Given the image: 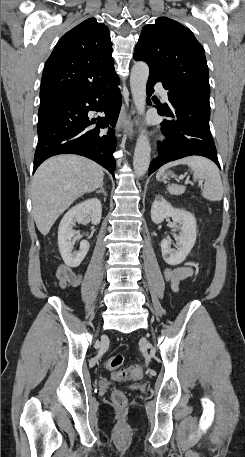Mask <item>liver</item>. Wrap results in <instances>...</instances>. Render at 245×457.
Wrapping results in <instances>:
<instances>
[{"label": "liver", "mask_w": 245, "mask_h": 457, "mask_svg": "<svg viewBox=\"0 0 245 457\" xmlns=\"http://www.w3.org/2000/svg\"><path fill=\"white\" fill-rule=\"evenodd\" d=\"M104 168L78 154L51 156L37 168L32 180V212L38 231L48 235L58 216L84 192L103 182Z\"/></svg>", "instance_id": "6515ba94"}]
</instances>
